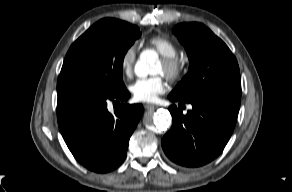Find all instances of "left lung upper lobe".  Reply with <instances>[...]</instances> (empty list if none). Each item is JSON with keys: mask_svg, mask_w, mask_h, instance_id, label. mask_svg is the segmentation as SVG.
Instances as JSON below:
<instances>
[{"mask_svg": "<svg viewBox=\"0 0 292 192\" xmlns=\"http://www.w3.org/2000/svg\"><path fill=\"white\" fill-rule=\"evenodd\" d=\"M173 33L185 46L190 67L169 94L182 100L205 95L241 97L238 63L227 45L200 23H181Z\"/></svg>", "mask_w": 292, "mask_h": 192, "instance_id": "1", "label": "left lung upper lobe"}]
</instances>
